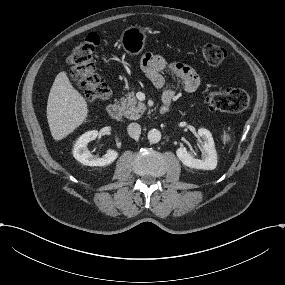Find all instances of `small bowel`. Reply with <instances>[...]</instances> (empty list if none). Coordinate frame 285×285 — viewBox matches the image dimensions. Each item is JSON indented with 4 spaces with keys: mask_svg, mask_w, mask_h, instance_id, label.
Instances as JSON below:
<instances>
[{
    "mask_svg": "<svg viewBox=\"0 0 285 285\" xmlns=\"http://www.w3.org/2000/svg\"><path fill=\"white\" fill-rule=\"evenodd\" d=\"M141 67L157 88H163L165 85V78L162 75L164 71H169L177 78L184 90L189 93L196 91L203 82V77L192 67L180 62H169L159 54H145L141 59ZM174 97L175 91L172 88L163 91V99H170L172 102Z\"/></svg>",
    "mask_w": 285,
    "mask_h": 285,
    "instance_id": "c3829d8e",
    "label": "small bowel"
}]
</instances>
